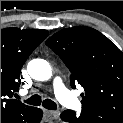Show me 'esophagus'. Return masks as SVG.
Instances as JSON below:
<instances>
[{
    "label": "esophagus",
    "mask_w": 123,
    "mask_h": 123,
    "mask_svg": "<svg viewBox=\"0 0 123 123\" xmlns=\"http://www.w3.org/2000/svg\"><path fill=\"white\" fill-rule=\"evenodd\" d=\"M44 113L47 117L59 119L60 112L59 111H50V110H44Z\"/></svg>",
    "instance_id": "esophagus-1"
}]
</instances>
